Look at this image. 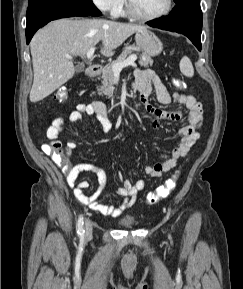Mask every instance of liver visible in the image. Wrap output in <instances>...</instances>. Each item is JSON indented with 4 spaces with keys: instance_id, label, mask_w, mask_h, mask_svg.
<instances>
[{
    "instance_id": "6515ba94",
    "label": "liver",
    "mask_w": 243,
    "mask_h": 289,
    "mask_svg": "<svg viewBox=\"0 0 243 289\" xmlns=\"http://www.w3.org/2000/svg\"><path fill=\"white\" fill-rule=\"evenodd\" d=\"M146 27L104 19H58L31 40L34 80L30 101L38 102L71 79L76 71L67 56L85 55L102 41L101 53L112 56L133 33Z\"/></svg>"
}]
</instances>
